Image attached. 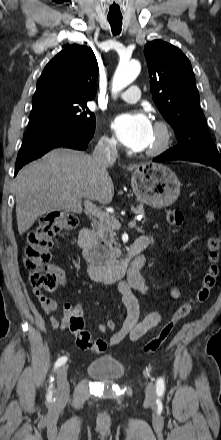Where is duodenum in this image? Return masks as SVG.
Wrapping results in <instances>:
<instances>
[{"label": "duodenum", "mask_w": 221, "mask_h": 440, "mask_svg": "<svg viewBox=\"0 0 221 440\" xmlns=\"http://www.w3.org/2000/svg\"><path fill=\"white\" fill-rule=\"evenodd\" d=\"M90 236V229L83 227L79 232V242L86 243ZM147 245V241L139 238L130 246L123 259L110 263H99L95 260L88 266L89 278L93 281L113 282L121 279L132 268L140 272L146 262L140 254Z\"/></svg>", "instance_id": "obj_1"}]
</instances>
